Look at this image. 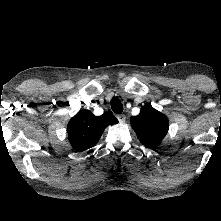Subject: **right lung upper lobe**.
Returning a JSON list of instances; mask_svg holds the SVG:
<instances>
[{
	"label": "right lung upper lobe",
	"instance_id": "cb5924a9",
	"mask_svg": "<svg viewBox=\"0 0 221 221\" xmlns=\"http://www.w3.org/2000/svg\"><path fill=\"white\" fill-rule=\"evenodd\" d=\"M116 123L118 120L109 112L95 116L91 111L83 109L69 121L68 139L76 151L82 152L95 146L104 129Z\"/></svg>",
	"mask_w": 221,
	"mask_h": 221
}]
</instances>
